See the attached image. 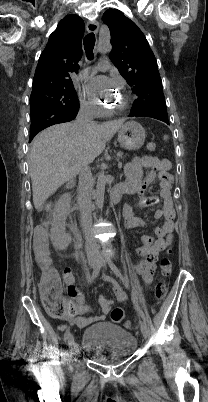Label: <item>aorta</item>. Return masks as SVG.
Instances as JSON below:
<instances>
[{"label":"aorta","mask_w":208,"mask_h":402,"mask_svg":"<svg viewBox=\"0 0 208 402\" xmlns=\"http://www.w3.org/2000/svg\"><path fill=\"white\" fill-rule=\"evenodd\" d=\"M106 174L105 173H100L99 178L96 182V202L98 208H103L104 204V196L107 192V182H106ZM102 257L107 258L110 255L109 249L107 247H104L101 252Z\"/></svg>","instance_id":"aorta-1"}]
</instances>
